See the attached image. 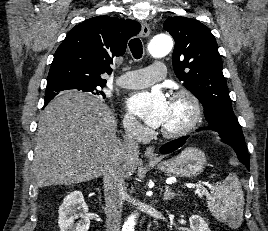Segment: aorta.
I'll use <instances>...</instances> for the list:
<instances>
[{
	"label": "aorta",
	"mask_w": 268,
	"mask_h": 231,
	"mask_svg": "<svg viewBox=\"0 0 268 231\" xmlns=\"http://www.w3.org/2000/svg\"><path fill=\"white\" fill-rule=\"evenodd\" d=\"M173 47V40L166 34L155 36L148 47L150 55L154 58H161L167 55ZM138 213L131 214L124 222L122 231H134Z\"/></svg>",
	"instance_id": "obj_1"
}]
</instances>
